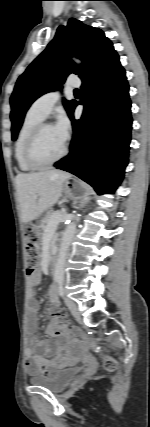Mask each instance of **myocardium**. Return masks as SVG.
<instances>
[{
  "label": "myocardium",
  "instance_id": "f54148a6",
  "mask_svg": "<svg viewBox=\"0 0 150 427\" xmlns=\"http://www.w3.org/2000/svg\"><path fill=\"white\" fill-rule=\"evenodd\" d=\"M48 127H54V124L50 123V122H41L39 123L30 133L27 141H26V145H25V159L26 162L33 167L34 169H44V168H48L54 164H56L57 162H59L60 160H62L69 151V145L66 142L65 147L63 149V151L61 152L60 155H58L56 158H54L51 161L48 162H40L38 161L35 156H34V150H35V146L36 143L38 141V138L40 136V134L43 132L44 129L48 128Z\"/></svg>",
  "mask_w": 150,
  "mask_h": 427
}]
</instances>
